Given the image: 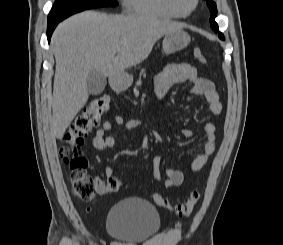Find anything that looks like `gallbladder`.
Instances as JSON below:
<instances>
[{
	"instance_id": "bac80fb5",
	"label": "gallbladder",
	"mask_w": 283,
	"mask_h": 245,
	"mask_svg": "<svg viewBox=\"0 0 283 245\" xmlns=\"http://www.w3.org/2000/svg\"><path fill=\"white\" fill-rule=\"evenodd\" d=\"M86 86L90 94L98 95L106 86V76L98 70H92L87 76Z\"/></svg>"
}]
</instances>
